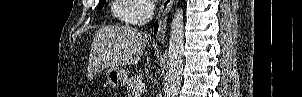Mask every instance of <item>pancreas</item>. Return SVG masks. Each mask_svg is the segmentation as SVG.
Here are the masks:
<instances>
[{"instance_id":"1","label":"pancreas","mask_w":302,"mask_h":97,"mask_svg":"<svg viewBox=\"0 0 302 97\" xmlns=\"http://www.w3.org/2000/svg\"><path fill=\"white\" fill-rule=\"evenodd\" d=\"M141 81H142V78L139 75H135V76L131 77L127 82L128 93L133 94L136 84Z\"/></svg>"}]
</instances>
